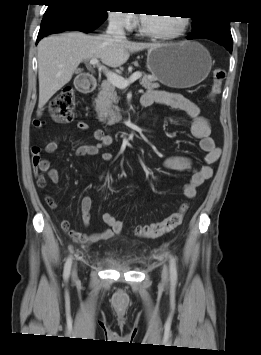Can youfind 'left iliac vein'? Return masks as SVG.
<instances>
[{
	"mask_svg": "<svg viewBox=\"0 0 261 355\" xmlns=\"http://www.w3.org/2000/svg\"><path fill=\"white\" fill-rule=\"evenodd\" d=\"M162 282L163 284H166L168 282V269L166 266L162 270Z\"/></svg>",
	"mask_w": 261,
	"mask_h": 355,
	"instance_id": "1",
	"label": "left iliac vein"
}]
</instances>
